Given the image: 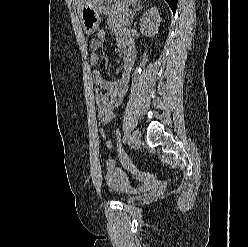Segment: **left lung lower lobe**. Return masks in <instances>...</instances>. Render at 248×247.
<instances>
[{"instance_id":"0a47b994","label":"left lung lower lobe","mask_w":248,"mask_h":247,"mask_svg":"<svg viewBox=\"0 0 248 247\" xmlns=\"http://www.w3.org/2000/svg\"><path fill=\"white\" fill-rule=\"evenodd\" d=\"M166 1L169 4V6L171 7L173 13L175 14L178 0H166Z\"/></svg>"}]
</instances>
